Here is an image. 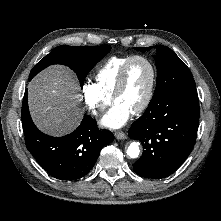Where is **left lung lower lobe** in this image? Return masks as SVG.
Returning a JSON list of instances; mask_svg holds the SVG:
<instances>
[{
    "label": "left lung lower lobe",
    "instance_id": "0a47b994",
    "mask_svg": "<svg viewBox=\"0 0 221 221\" xmlns=\"http://www.w3.org/2000/svg\"><path fill=\"white\" fill-rule=\"evenodd\" d=\"M199 115L196 87L149 103L128 130V136L143 146L142 156L133 164L134 171L151 179L165 178L175 172L196 142Z\"/></svg>",
    "mask_w": 221,
    "mask_h": 221
}]
</instances>
